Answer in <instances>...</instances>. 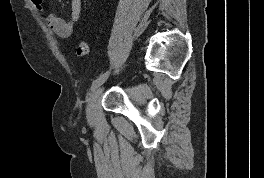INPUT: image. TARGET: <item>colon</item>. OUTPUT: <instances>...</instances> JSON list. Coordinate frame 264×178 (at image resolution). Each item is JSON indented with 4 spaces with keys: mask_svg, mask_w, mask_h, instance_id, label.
Wrapping results in <instances>:
<instances>
[{
    "mask_svg": "<svg viewBox=\"0 0 264 178\" xmlns=\"http://www.w3.org/2000/svg\"><path fill=\"white\" fill-rule=\"evenodd\" d=\"M33 5L40 11H43V0H31ZM89 47L85 41H81L78 46L76 53L79 57H84L88 54Z\"/></svg>",
    "mask_w": 264,
    "mask_h": 178,
    "instance_id": "colon-1",
    "label": "colon"
}]
</instances>
